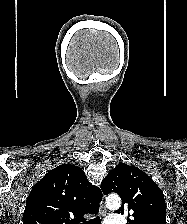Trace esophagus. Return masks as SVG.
<instances>
[{
	"label": "esophagus",
	"instance_id": "esophagus-1",
	"mask_svg": "<svg viewBox=\"0 0 187 224\" xmlns=\"http://www.w3.org/2000/svg\"><path fill=\"white\" fill-rule=\"evenodd\" d=\"M106 212H107V209H106L105 204H104V201L102 199L101 202H100V214L102 216H105L106 215Z\"/></svg>",
	"mask_w": 187,
	"mask_h": 224
}]
</instances>
